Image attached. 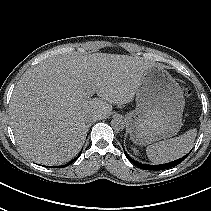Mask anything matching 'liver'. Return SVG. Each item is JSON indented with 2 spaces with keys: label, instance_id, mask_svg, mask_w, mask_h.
I'll return each instance as SVG.
<instances>
[{
  "label": "liver",
  "instance_id": "liver-1",
  "mask_svg": "<svg viewBox=\"0 0 211 211\" xmlns=\"http://www.w3.org/2000/svg\"><path fill=\"white\" fill-rule=\"evenodd\" d=\"M152 66L138 57L107 53L58 56L33 66L11 97L17 144L36 163L68 162L84 143L86 117L106 118L112 105L131 102ZM88 87L99 98H86Z\"/></svg>",
  "mask_w": 211,
  "mask_h": 211
}]
</instances>
